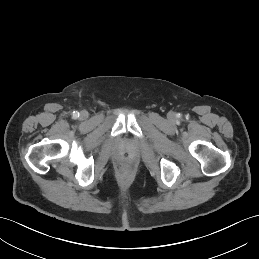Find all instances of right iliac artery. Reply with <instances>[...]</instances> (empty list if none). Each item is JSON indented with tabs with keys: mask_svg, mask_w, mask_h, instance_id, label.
Wrapping results in <instances>:
<instances>
[{
	"mask_svg": "<svg viewBox=\"0 0 259 259\" xmlns=\"http://www.w3.org/2000/svg\"><path fill=\"white\" fill-rule=\"evenodd\" d=\"M78 117H79V112L74 111V112H73V118L76 119V118H78Z\"/></svg>",
	"mask_w": 259,
	"mask_h": 259,
	"instance_id": "1",
	"label": "right iliac artery"
}]
</instances>
